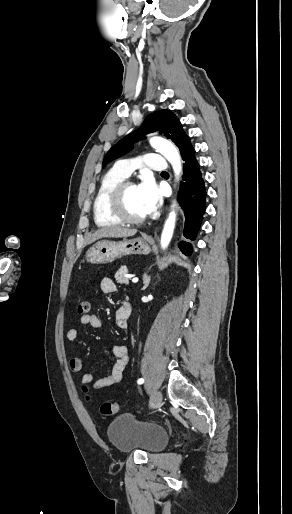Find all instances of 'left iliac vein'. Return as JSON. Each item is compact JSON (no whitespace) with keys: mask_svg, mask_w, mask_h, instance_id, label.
<instances>
[{"mask_svg":"<svg viewBox=\"0 0 292 514\" xmlns=\"http://www.w3.org/2000/svg\"><path fill=\"white\" fill-rule=\"evenodd\" d=\"M161 402H162V394L160 391H155L153 393V396H152V399H151V402H150V408L151 409H156L158 408L160 405H161Z\"/></svg>","mask_w":292,"mask_h":514,"instance_id":"4c4485c4","label":"left iliac vein"}]
</instances>
